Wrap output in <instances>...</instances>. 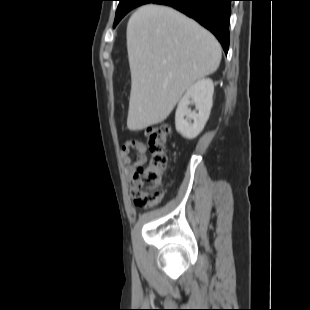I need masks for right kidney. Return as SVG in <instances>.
I'll use <instances>...</instances> for the list:
<instances>
[{
    "label": "right kidney",
    "instance_id": "1",
    "mask_svg": "<svg viewBox=\"0 0 310 310\" xmlns=\"http://www.w3.org/2000/svg\"><path fill=\"white\" fill-rule=\"evenodd\" d=\"M213 93V81L209 78L200 79L187 89L180 99L175 114V126L184 138L194 139L203 130L212 108ZM190 104L195 105V111L189 108Z\"/></svg>",
    "mask_w": 310,
    "mask_h": 310
}]
</instances>
